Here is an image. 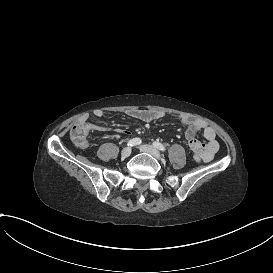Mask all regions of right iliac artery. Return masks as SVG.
I'll use <instances>...</instances> for the list:
<instances>
[{"mask_svg":"<svg viewBox=\"0 0 273 273\" xmlns=\"http://www.w3.org/2000/svg\"><path fill=\"white\" fill-rule=\"evenodd\" d=\"M141 142L142 141L140 138H133L127 143V146H130V147L137 146V145L141 144Z\"/></svg>","mask_w":273,"mask_h":273,"instance_id":"1","label":"right iliac artery"}]
</instances>
